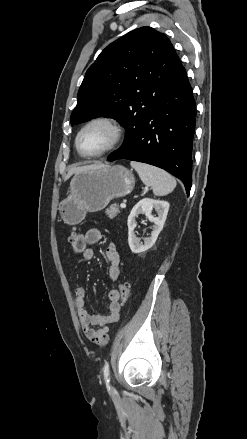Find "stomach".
Returning a JSON list of instances; mask_svg holds the SVG:
<instances>
[{
	"instance_id": "1",
	"label": "stomach",
	"mask_w": 247,
	"mask_h": 439,
	"mask_svg": "<svg viewBox=\"0 0 247 439\" xmlns=\"http://www.w3.org/2000/svg\"><path fill=\"white\" fill-rule=\"evenodd\" d=\"M135 177L122 165L103 166L75 174L69 195L58 205L63 221L69 225L81 222L87 212L105 208L115 198L128 195L134 188Z\"/></svg>"
}]
</instances>
